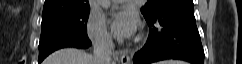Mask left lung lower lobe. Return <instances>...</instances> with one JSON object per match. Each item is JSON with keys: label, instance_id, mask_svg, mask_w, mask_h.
I'll return each mask as SVG.
<instances>
[{"label": "left lung lower lobe", "instance_id": "obj_1", "mask_svg": "<svg viewBox=\"0 0 242 64\" xmlns=\"http://www.w3.org/2000/svg\"><path fill=\"white\" fill-rule=\"evenodd\" d=\"M150 27L144 47L135 53L134 64L180 59L204 64V50L194 17L193 0H174L145 18Z\"/></svg>", "mask_w": 242, "mask_h": 64}]
</instances>
